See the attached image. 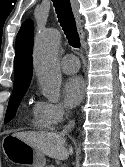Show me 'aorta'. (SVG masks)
<instances>
[{"label":"aorta","instance_id":"obj_1","mask_svg":"<svg viewBox=\"0 0 125 167\" xmlns=\"http://www.w3.org/2000/svg\"><path fill=\"white\" fill-rule=\"evenodd\" d=\"M61 35L57 29L39 32L34 44V67L42 93L50 102L60 98L62 76L58 64Z\"/></svg>","mask_w":125,"mask_h":167}]
</instances>
